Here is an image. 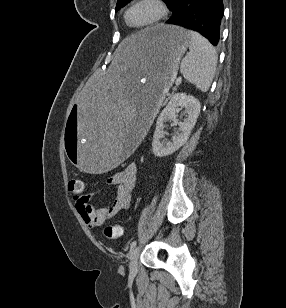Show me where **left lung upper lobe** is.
I'll return each mask as SVG.
<instances>
[{
	"instance_id": "5c2ea615",
	"label": "left lung upper lobe",
	"mask_w": 286,
	"mask_h": 308,
	"mask_svg": "<svg viewBox=\"0 0 286 308\" xmlns=\"http://www.w3.org/2000/svg\"><path fill=\"white\" fill-rule=\"evenodd\" d=\"M130 1L131 0H118L115 11H118L120 8H122L124 5H126ZM163 1L167 4V7L170 8V5L173 0H163Z\"/></svg>"
}]
</instances>
